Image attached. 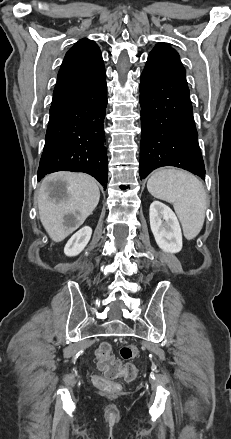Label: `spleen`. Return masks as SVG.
<instances>
[{
  "mask_svg": "<svg viewBox=\"0 0 231 439\" xmlns=\"http://www.w3.org/2000/svg\"><path fill=\"white\" fill-rule=\"evenodd\" d=\"M154 197L172 203L187 239L201 231L206 210V193L202 183L192 174L163 169L154 172L147 182Z\"/></svg>",
  "mask_w": 231,
  "mask_h": 439,
  "instance_id": "obj_1",
  "label": "spleen"
}]
</instances>
